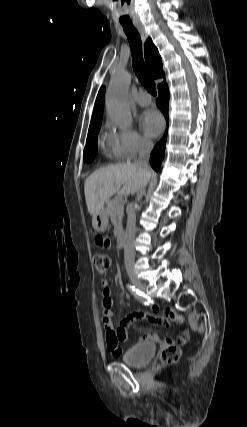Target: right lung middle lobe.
Here are the masks:
<instances>
[{"instance_id":"obj_1","label":"right lung middle lobe","mask_w":247,"mask_h":427,"mask_svg":"<svg viewBox=\"0 0 247 427\" xmlns=\"http://www.w3.org/2000/svg\"><path fill=\"white\" fill-rule=\"evenodd\" d=\"M101 125L90 128L87 136V143L84 148V162H91L97 154V135Z\"/></svg>"}]
</instances>
